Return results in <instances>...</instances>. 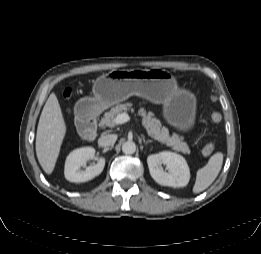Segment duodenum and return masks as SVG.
<instances>
[{
  "label": "duodenum",
  "mask_w": 261,
  "mask_h": 254,
  "mask_svg": "<svg viewBox=\"0 0 261 254\" xmlns=\"http://www.w3.org/2000/svg\"><path fill=\"white\" fill-rule=\"evenodd\" d=\"M97 108L87 102H81L77 107L76 125L81 137L86 141L95 139L98 132Z\"/></svg>",
  "instance_id": "duodenum-1"
}]
</instances>
